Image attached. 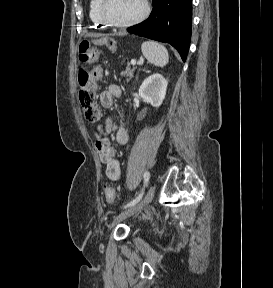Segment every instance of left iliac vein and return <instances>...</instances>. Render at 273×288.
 Listing matches in <instances>:
<instances>
[{
  "label": "left iliac vein",
  "mask_w": 273,
  "mask_h": 288,
  "mask_svg": "<svg viewBox=\"0 0 273 288\" xmlns=\"http://www.w3.org/2000/svg\"><path fill=\"white\" fill-rule=\"evenodd\" d=\"M154 194H155V187L152 186V187H150L148 192L145 194V196L143 197V199L139 203H137L134 206H131L130 208H128L127 210L119 213L114 218V220L111 222V224L109 225V229H112L120 221H122V220L130 217L131 215L137 213L138 211L142 210L145 206H147L151 202V200L154 197Z\"/></svg>",
  "instance_id": "1"
}]
</instances>
